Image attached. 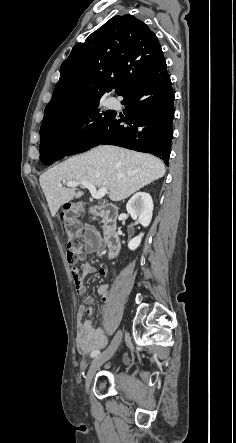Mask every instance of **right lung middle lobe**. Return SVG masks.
<instances>
[{"instance_id":"dd1d6c3e","label":"right lung middle lobe","mask_w":236,"mask_h":443,"mask_svg":"<svg viewBox=\"0 0 236 443\" xmlns=\"http://www.w3.org/2000/svg\"><path fill=\"white\" fill-rule=\"evenodd\" d=\"M100 98L43 120L40 128V149L44 146L69 145L106 120L113 111H101Z\"/></svg>"}]
</instances>
